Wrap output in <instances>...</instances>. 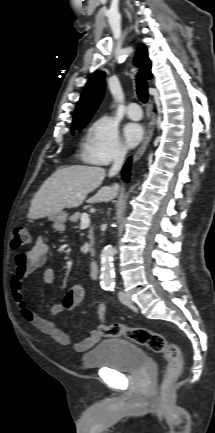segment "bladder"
<instances>
[{
	"label": "bladder",
	"instance_id": "1",
	"mask_svg": "<svg viewBox=\"0 0 215 433\" xmlns=\"http://www.w3.org/2000/svg\"><path fill=\"white\" fill-rule=\"evenodd\" d=\"M86 368H106L118 373L132 374L148 365L146 353L137 345L120 338L100 341L83 356Z\"/></svg>",
	"mask_w": 215,
	"mask_h": 433
}]
</instances>
